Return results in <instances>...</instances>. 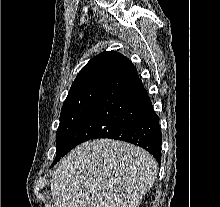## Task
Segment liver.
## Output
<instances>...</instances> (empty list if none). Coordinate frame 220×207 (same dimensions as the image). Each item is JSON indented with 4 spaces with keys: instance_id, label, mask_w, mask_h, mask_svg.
Instances as JSON below:
<instances>
[{
    "instance_id": "1",
    "label": "liver",
    "mask_w": 220,
    "mask_h": 207,
    "mask_svg": "<svg viewBox=\"0 0 220 207\" xmlns=\"http://www.w3.org/2000/svg\"><path fill=\"white\" fill-rule=\"evenodd\" d=\"M158 164L132 144L96 139L74 148L52 174L56 207H139Z\"/></svg>"
}]
</instances>
